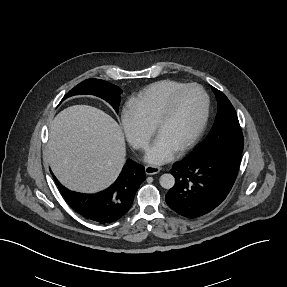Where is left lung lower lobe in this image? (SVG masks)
<instances>
[{"mask_svg": "<svg viewBox=\"0 0 287 287\" xmlns=\"http://www.w3.org/2000/svg\"><path fill=\"white\" fill-rule=\"evenodd\" d=\"M243 148H199L173 164L175 185L165 196L178 214L195 218L216 208L230 192L239 169Z\"/></svg>", "mask_w": 287, "mask_h": 287, "instance_id": "obj_1", "label": "left lung lower lobe"}]
</instances>
